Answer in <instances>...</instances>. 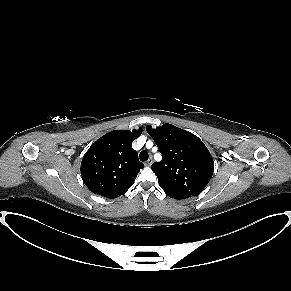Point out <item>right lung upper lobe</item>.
<instances>
[{
  "label": "right lung upper lobe",
  "instance_id": "right-lung-upper-lobe-1",
  "mask_svg": "<svg viewBox=\"0 0 291 291\" xmlns=\"http://www.w3.org/2000/svg\"><path fill=\"white\" fill-rule=\"evenodd\" d=\"M141 133L142 128L111 131L88 149L80 171L90 191L110 199L127 192L140 169L144 168L132 148L133 140Z\"/></svg>",
  "mask_w": 291,
  "mask_h": 291
}]
</instances>
